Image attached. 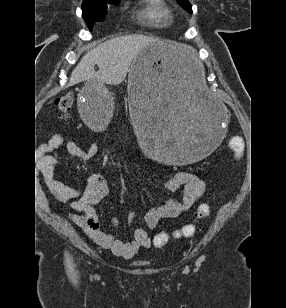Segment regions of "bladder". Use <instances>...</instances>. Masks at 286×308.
<instances>
[{
	"mask_svg": "<svg viewBox=\"0 0 286 308\" xmlns=\"http://www.w3.org/2000/svg\"><path fill=\"white\" fill-rule=\"evenodd\" d=\"M135 263H141L140 261H136Z\"/></svg>",
	"mask_w": 286,
	"mask_h": 308,
	"instance_id": "obj_1",
	"label": "bladder"
}]
</instances>
